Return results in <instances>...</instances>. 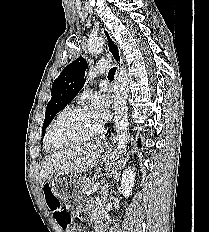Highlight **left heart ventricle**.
<instances>
[{"mask_svg":"<svg viewBox=\"0 0 209 232\" xmlns=\"http://www.w3.org/2000/svg\"><path fill=\"white\" fill-rule=\"evenodd\" d=\"M99 124L100 120L90 109L72 112L54 126L52 140L56 144L65 143L94 132Z\"/></svg>","mask_w":209,"mask_h":232,"instance_id":"left-heart-ventricle-1","label":"left heart ventricle"}]
</instances>
